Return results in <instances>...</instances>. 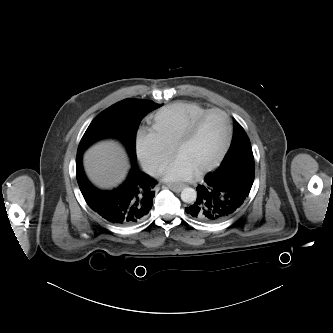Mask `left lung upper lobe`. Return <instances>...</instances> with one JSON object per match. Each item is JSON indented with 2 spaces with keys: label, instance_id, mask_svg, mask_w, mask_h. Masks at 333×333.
I'll list each match as a JSON object with an SVG mask.
<instances>
[{
  "label": "left lung upper lobe",
  "instance_id": "5c2ea615",
  "mask_svg": "<svg viewBox=\"0 0 333 333\" xmlns=\"http://www.w3.org/2000/svg\"><path fill=\"white\" fill-rule=\"evenodd\" d=\"M233 129L234 134L231 146L226 153L223 161L221 162V165L215 171L227 164H232L235 162L254 163L250 140L246 135L244 129L238 122H234Z\"/></svg>",
  "mask_w": 333,
  "mask_h": 333
}]
</instances>
